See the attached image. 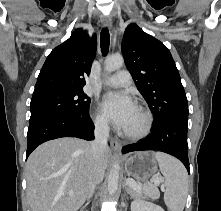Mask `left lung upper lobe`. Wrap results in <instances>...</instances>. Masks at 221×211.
I'll return each instance as SVG.
<instances>
[{
  "mask_svg": "<svg viewBox=\"0 0 221 211\" xmlns=\"http://www.w3.org/2000/svg\"><path fill=\"white\" fill-rule=\"evenodd\" d=\"M121 50L138 90L154 115L153 124L171 116H188L180 75L162 42L131 23L125 30Z\"/></svg>",
  "mask_w": 221,
  "mask_h": 211,
  "instance_id": "left-lung-upper-lobe-1",
  "label": "left lung upper lobe"
}]
</instances>
